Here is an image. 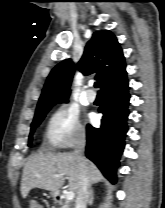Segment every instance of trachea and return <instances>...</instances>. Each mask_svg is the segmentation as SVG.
Masks as SVG:
<instances>
[{
    "mask_svg": "<svg viewBox=\"0 0 165 208\" xmlns=\"http://www.w3.org/2000/svg\"><path fill=\"white\" fill-rule=\"evenodd\" d=\"M94 86H95V88H99V83L95 82Z\"/></svg>",
    "mask_w": 165,
    "mask_h": 208,
    "instance_id": "obj_1",
    "label": "trachea"
}]
</instances>
